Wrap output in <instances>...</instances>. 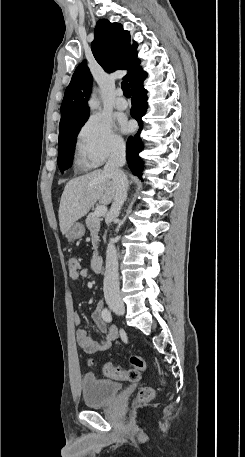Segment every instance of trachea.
<instances>
[{
    "label": "trachea",
    "mask_w": 245,
    "mask_h": 457,
    "mask_svg": "<svg viewBox=\"0 0 245 457\" xmlns=\"http://www.w3.org/2000/svg\"><path fill=\"white\" fill-rule=\"evenodd\" d=\"M121 88H122V90H123V92H124L125 97H130V96H131V93H130V90H129V84H128V82L123 81V82L121 83Z\"/></svg>",
    "instance_id": "1"
}]
</instances>
